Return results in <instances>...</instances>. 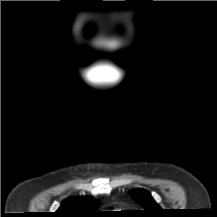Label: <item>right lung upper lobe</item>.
I'll return each mask as SVG.
<instances>
[{
	"mask_svg": "<svg viewBox=\"0 0 217 217\" xmlns=\"http://www.w3.org/2000/svg\"><path fill=\"white\" fill-rule=\"evenodd\" d=\"M97 204L94 198L81 196L65 199L61 207L54 213L53 217H94L93 211Z\"/></svg>",
	"mask_w": 217,
	"mask_h": 217,
	"instance_id": "1",
	"label": "right lung upper lobe"
}]
</instances>
